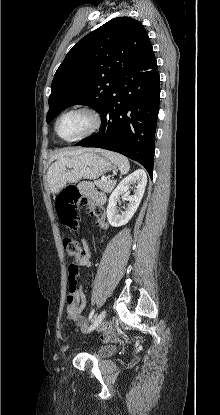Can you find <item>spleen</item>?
<instances>
[{"instance_id":"1","label":"spleen","mask_w":220,"mask_h":415,"mask_svg":"<svg viewBox=\"0 0 220 415\" xmlns=\"http://www.w3.org/2000/svg\"><path fill=\"white\" fill-rule=\"evenodd\" d=\"M101 154L106 158L110 159L116 166H118L121 174H127L129 172L130 164L125 156L119 153L105 150H102Z\"/></svg>"}]
</instances>
